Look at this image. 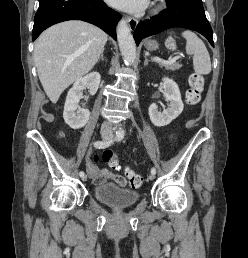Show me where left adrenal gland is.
I'll use <instances>...</instances> for the list:
<instances>
[{
    "label": "left adrenal gland",
    "instance_id": "left-adrenal-gland-1",
    "mask_svg": "<svg viewBox=\"0 0 248 258\" xmlns=\"http://www.w3.org/2000/svg\"><path fill=\"white\" fill-rule=\"evenodd\" d=\"M144 58H145L144 65H147V64H148V62H150V60H148L147 56H144Z\"/></svg>",
    "mask_w": 248,
    "mask_h": 258
}]
</instances>
